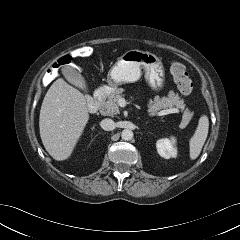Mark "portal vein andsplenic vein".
Masks as SVG:
<instances>
[{
	"label": "portal vein and splenic vein",
	"instance_id": "18ae733b",
	"mask_svg": "<svg viewBox=\"0 0 240 240\" xmlns=\"http://www.w3.org/2000/svg\"><path fill=\"white\" fill-rule=\"evenodd\" d=\"M178 109L176 108H172V109H168V110H162L159 115H166V114H170V113H177Z\"/></svg>",
	"mask_w": 240,
	"mask_h": 240
}]
</instances>
